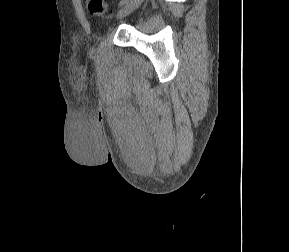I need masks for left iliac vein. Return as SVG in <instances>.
<instances>
[{"label":"left iliac vein","instance_id":"4c4485c4","mask_svg":"<svg viewBox=\"0 0 289 252\" xmlns=\"http://www.w3.org/2000/svg\"><path fill=\"white\" fill-rule=\"evenodd\" d=\"M143 0H129L124 6L118 11L117 18H123L133 12Z\"/></svg>","mask_w":289,"mask_h":252}]
</instances>
